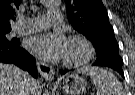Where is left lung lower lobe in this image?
Here are the masks:
<instances>
[{
	"instance_id": "obj_1",
	"label": "left lung lower lobe",
	"mask_w": 135,
	"mask_h": 95,
	"mask_svg": "<svg viewBox=\"0 0 135 95\" xmlns=\"http://www.w3.org/2000/svg\"><path fill=\"white\" fill-rule=\"evenodd\" d=\"M122 63L123 62L120 55L111 53L109 56L98 57L93 65L110 67L124 77V73L122 71ZM68 71L69 70H60V73L63 75Z\"/></svg>"
}]
</instances>
